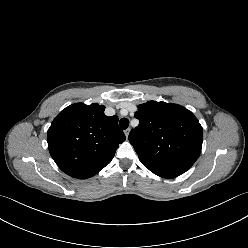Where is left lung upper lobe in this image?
<instances>
[{
	"label": "left lung upper lobe",
	"instance_id": "5c2ea615",
	"mask_svg": "<svg viewBox=\"0 0 248 248\" xmlns=\"http://www.w3.org/2000/svg\"><path fill=\"white\" fill-rule=\"evenodd\" d=\"M139 125L129 141L142 164L163 178L186 172L201 153L203 129L194 114L183 106L148 101L138 106Z\"/></svg>",
	"mask_w": 248,
	"mask_h": 248
}]
</instances>
